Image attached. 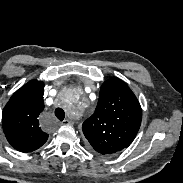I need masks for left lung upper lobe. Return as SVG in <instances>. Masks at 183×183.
<instances>
[{
	"instance_id": "obj_1",
	"label": "left lung upper lobe",
	"mask_w": 183,
	"mask_h": 183,
	"mask_svg": "<svg viewBox=\"0 0 183 183\" xmlns=\"http://www.w3.org/2000/svg\"><path fill=\"white\" fill-rule=\"evenodd\" d=\"M142 111L134 93L120 79L110 78L101 86L95 113L82 125V130L99 153L113 154L134 140Z\"/></svg>"
}]
</instances>
